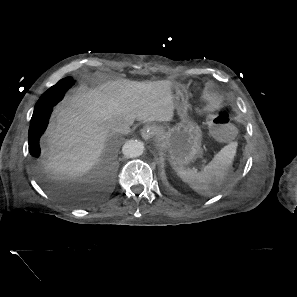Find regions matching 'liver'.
Here are the masks:
<instances>
[{
	"mask_svg": "<svg viewBox=\"0 0 297 297\" xmlns=\"http://www.w3.org/2000/svg\"><path fill=\"white\" fill-rule=\"evenodd\" d=\"M172 88L167 80L119 79L80 89L54 110L43 141L45 170L64 183L66 193H77L87 182L82 177L100 162L115 122L171 119Z\"/></svg>",
	"mask_w": 297,
	"mask_h": 297,
	"instance_id": "liver-1",
	"label": "liver"
}]
</instances>
